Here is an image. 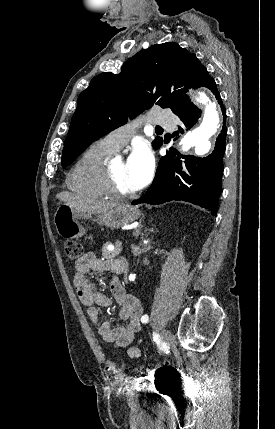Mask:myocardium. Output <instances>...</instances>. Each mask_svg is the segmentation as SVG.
Wrapping results in <instances>:
<instances>
[{"mask_svg":"<svg viewBox=\"0 0 275 429\" xmlns=\"http://www.w3.org/2000/svg\"><path fill=\"white\" fill-rule=\"evenodd\" d=\"M105 173H106V188L110 196L115 198H120V199H127V198H132L136 196L137 194L136 191L124 192L118 187L110 165L106 166Z\"/></svg>","mask_w":275,"mask_h":429,"instance_id":"myocardium-1","label":"myocardium"}]
</instances>
